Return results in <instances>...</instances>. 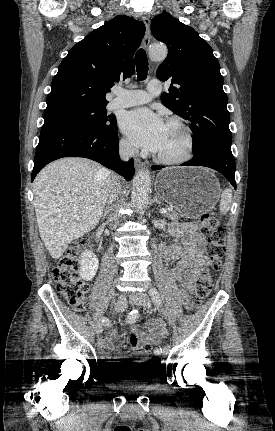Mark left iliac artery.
Masks as SVG:
<instances>
[{
    "mask_svg": "<svg viewBox=\"0 0 275 431\" xmlns=\"http://www.w3.org/2000/svg\"><path fill=\"white\" fill-rule=\"evenodd\" d=\"M149 295H150L152 301L154 302V304L157 307H161L162 306L161 297H160L159 292L157 291V289L151 288L149 290ZM154 353L157 354V355L162 354V348L161 347H156L155 350H154Z\"/></svg>",
    "mask_w": 275,
    "mask_h": 431,
    "instance_id": "obj_1",
    "label": "left iliac artery"
}]
</instances>
